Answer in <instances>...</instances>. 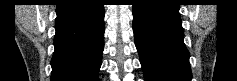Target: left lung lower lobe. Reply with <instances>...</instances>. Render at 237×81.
<instances>
[{
    "label": "left lung lower lobe",
    "mask_w": 237,
    "mask_h": 81,
    "mask_svg": "<svg viewBox=\"0 0 237 81\" xmlns=\"http://www.w3.org/2000/svg\"><path fill=\"white\" fill-rule=\"evenodd\" d=\"M133 32L145 81H191L178 1L138 0Z\"/></svg>",
    "instance_id": "left-lung-lower-lobe-1"
}]
</instances>
